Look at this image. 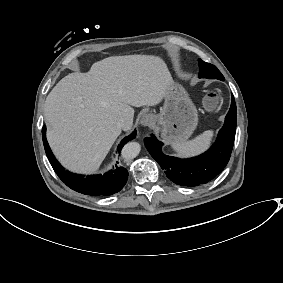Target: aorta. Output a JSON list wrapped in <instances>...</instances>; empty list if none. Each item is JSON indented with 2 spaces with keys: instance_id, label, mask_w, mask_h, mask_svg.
Wrapping results in <instances>:
<instances>
[{
  "instance_id": "1",
  "label": "aorta",
  "mask_w": 283,
  "mask_h": 283,
  "mask_svg": "<svg viewBox=\"0 0 283 283\" xmlns=\"http://www.w3.org/2000/svg\"><path fill=\"white\" fill-rule=\"evenodd\" d=\"M140 144L129 142L122 149V157L126 160L134 159L140 152Z\"/></svg>"
}]
</instances>
